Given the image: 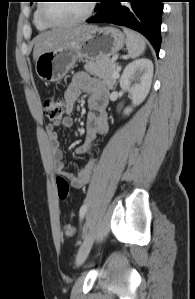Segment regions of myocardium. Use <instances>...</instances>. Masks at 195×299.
Segmentation results:
<instances>
[{"label":"myocardium","instance_id":"myocardium-1","mask_svg":"<svg viewBox=\"0 0 195 299\" xmlns=\"http://www.w3.org/2000/svg\"><path fill=\"white\" fill-rule=\"evenodd\" d=\"M88 8L86 10V12L80 16V17H77V18H74L72 20H68V21H55L53 19H51L47 14H46V11H45V8H46V5L48 3H41L40 6H39V14H40V17L41 19L46 23L48 24L49 26H53V27H63V26H71V25H74V24H78V23H81V22H84L86 20H88L94 13L95 11V8H96V3L94 0H89L88 1Z\"/></svg>","mask_w":195,"mask_h":299}]
</instances>
